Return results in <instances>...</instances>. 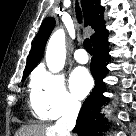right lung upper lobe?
<instances>
[{
  "label": "right lung upper lobe",
  "instance_id": "right-lung-upper-lobe-1",
  "mask_svg": "<svg viewBox=\"0 0 136 136\" xmlns=\"http://www.w3.org/2000/svg\"><path fill=\"white\" fill-rule=\"evenodd\" d=\"M81 3L84 12L85 25H91V27L95 30V33L91 36V41L94 45L102 38L108 36L103 18L105 9L100 5L99 0H81ZM54 26V18L49 17L43 21L27 58V64L23 76L29 74L41 60L46 42Z\"/></svg>",
  "mask_w": 136,
  "mask_h": 136
}]
</instances>
